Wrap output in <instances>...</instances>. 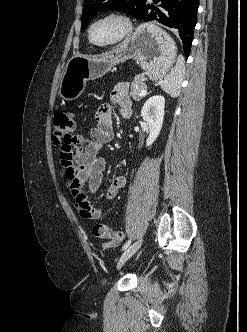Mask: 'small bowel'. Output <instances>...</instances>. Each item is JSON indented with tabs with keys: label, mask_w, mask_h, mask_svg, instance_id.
<instances>
[{
	"label": "small bowel",
	"mask_w": 247,
	"mask_h": 332,
	"mask_svg": "<svg viewBox=\"0 0 247 332\" xmlns=\"http://www.w3.org/2000/svg\"><path fill=\"white\" fill-rule=\"evenodd\" d=\"M113 105L118 106L123 118H129L132 115V102L128 96L126 84H118L111 91L109 101L97 109L95 125L86 136L76 137L74 147L63 145L60 149V166L65 185L74 198L80 216L88 220H97L102 214L100 208L91 204L90 196L99 190L103 171L106 168L107 160L105 157L99 156V153L114 135ZM125 184L124 176L115 177L105 192V198L114 199Z\"/></svg>",
	"instance_id": "obj_1"
}]
</instances>
